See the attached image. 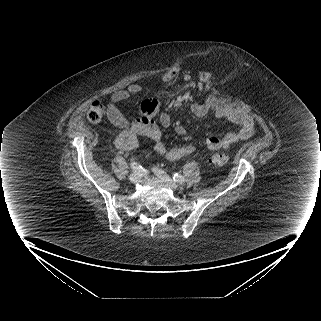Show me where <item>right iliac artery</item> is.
<instances>
[{"instance_id":"right-iliac-artery-1","label":"right iliac artery","mask_w":321,"mask_h":321,"mask_svg":"<svg viewBox=\"0 0 321 321\" xmlns=\"http://www.w3.org/2000/svg\"><path fill=\"white\" fill-rule=\"evenodd\" d=\"M131 167L133 169L134 172H140L142 170V167L140 165H138L136 162H132L131 163Z\"/></svg>"}]
</instances>
